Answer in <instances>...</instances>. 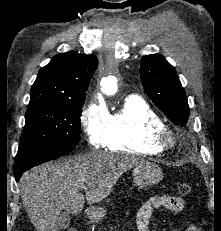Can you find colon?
Returning <instances> with one entry per match:
<instances>
[{
  "instance_id": "1",
  "label": "colon",
  "mask_w": 221,
  "mask_h": 231,
  "mask_svg": "<svg viewBox=\"0 0 221 231\" xmlns=\"http://www.w3.org/2000/svg\"><path fill=\"white\" fill-rule=\"evenodd\" d=\"M177 189L179 193L184 196L190 195L192 193L191 185L183 181L178 182ZM68 231H76V230H68Z\"/></svg>"
}]
</instances>
